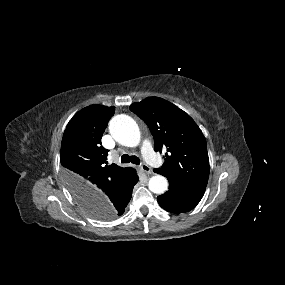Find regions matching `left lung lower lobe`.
I'll return each instance as SVG.
<instances>
[{"label":"left lung lower lobe","mask_w":285,"mask_h":285,"mask_svg":"<svg viewBox=\"0 0 285 285\" xmlns=\"http://www.w3.org/2000/svg\"><path fill=\"white\" fill-rule=\"evenodd\" d=\"M154 172L159 173L156 169ZM166 177L169 181V190L157 197L163 209L172 213L187 212L200 202L206 189L205 186L190 184L170 176Z\"/></svg>","instance_id":"1"}]
</instances>
